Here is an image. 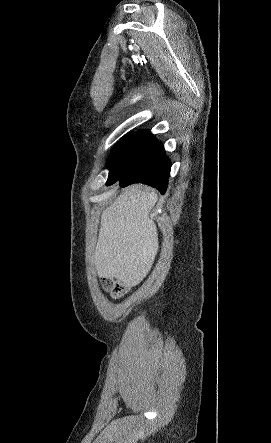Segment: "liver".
<instances>
[{"label":"liver","mask_w":271,"mask_h":443,"mask_svg":"<svg viewBox=\"0 0 271 443\" xmlns=\"http://www.w3.org/2000/svg\"><path fill=\"white\" fill-rule=\"evenodd\" d=\"M157 200L155 190L134 184L103 210L94 255L99 277L127 287L146 277L159 247L157 227L150 220Z\"/></svg>","instance_id":"6515ba94"}]
</instances>
